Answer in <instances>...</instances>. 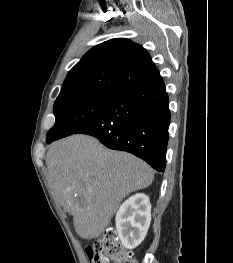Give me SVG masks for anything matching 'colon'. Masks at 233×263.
<instances>
[{"mask_svg":"<svg viewBox=\"0 0 233 263\" xmlns=\"http://www.w3.org/2000/svg\"><path fill=\"white\" fill-rule=\"evenodd\" d=\"M86 252L92 263H137L134 253L121 244L114 230H106Z\"/></svg>","mask_w":233,"mask_h":263,"instance_id":"colon-1","label":"colon"}]
</instances>
